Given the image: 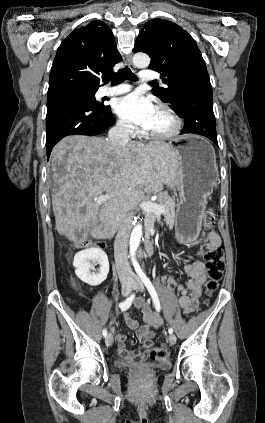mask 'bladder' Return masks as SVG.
<instances>
[{"label":"bladder","instance_id":"1","mask_svg":"<svg viewBox=\"0 0 265 423\" xmlns=\"http://www.w3.org/2000/svg\"><path fill=\"white\" fill-rule=\"evenodd\" d=\"M117 366L120 368H128V367H132L133 365H131V363L125 361V360H118L116 362Z\"/></svg>","mask_w":265,"mask_h":423}]
</instances>
